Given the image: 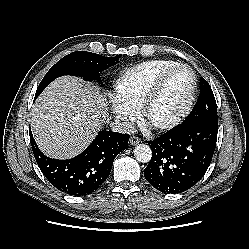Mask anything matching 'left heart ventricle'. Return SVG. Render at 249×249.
<instances>
[{
  "label": "left heart ventricle",
  "instance_id": "1",
  "mask_svg": "<svg viewBox=\"0 0 249 249\" xmlns=\"http://www.w3.org/2000/svg\"><path fill=\"white\" fill-rule=\"evenodd\" d=\"M190 85L191 75L187 69H179L174 72L150 108L148 122L158 124L173 118L183 107Z\"/></svg>",
  "mask_w": 249,
  "mask_h": 249
}]
</instances>
